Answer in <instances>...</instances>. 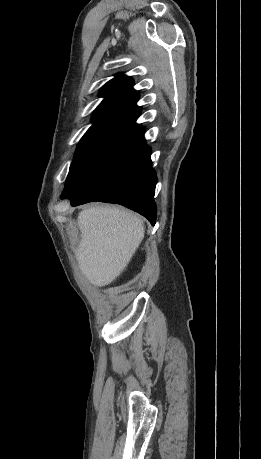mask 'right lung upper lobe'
<instances>
[{
  "instance_id": "obj_1",
  "label": "right lung upper lobe",
  "mask_w": 261,
  "mask_h": 459,
  "mask_svg": "<svg viewBox=\"0 0 261 459\" xmlns=\"http://www.w3.org/2000/svg\"><path fill=\"white\" fill-rule=\"evenodd\" d=\"M99 96L105 98L93 112V125L85 135L111 127L139 126L136 124L141 112L136 105L139 95L130 77L117 75L103 86Z\"/></svg>"
}]
</instances>
